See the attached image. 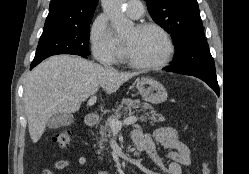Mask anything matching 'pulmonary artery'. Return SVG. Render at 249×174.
<instances>
[{
	"label": "pulmonary artery",
	"instance_id": "pulmonary-artery-1",
	"mask_svg": "<svg viewBox=\"0 0 249 174\" xmlns=\"http://www.w3.org/2000/svg\"><path fill=\"white\" fill-rule=\"evenodd\" d=\"M143 8V3L140 0H128L125 5L126 13L133 19L142 16Z\"/></svg>",
	"mask_w": 249,
	"mask_h": 174
}]
</instances>
